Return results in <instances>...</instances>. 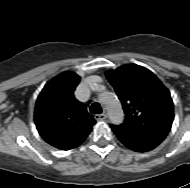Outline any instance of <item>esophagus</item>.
<instances>
[{
	"label": "esophagus",
	"mask_w": 190,
	"mask_h": 188,
	"mask_svg": "<svg viewBox=\"0 0 190 188\" xmlns=\"http://www.w3.org/2000/svg\"><path fill=\"white\" fill-rule=\"evenodd\" d=\"M106 114L102 113V114H95L94 118L97 121H101V120H105L106 119Z\"/></svg>",
	"instance_id": "obj_1"
}]
</instances>
